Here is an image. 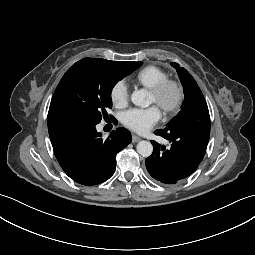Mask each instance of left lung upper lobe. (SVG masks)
<instances>
[{
	"mask_svg": "<svg viewBox=\"0 0 255 255\" xmlns=\"http://www.w3.org/2000/svg\"><path fill=\"white\" fill-rule=\"evenodd\" d=\"M171 65L174 68H176L177 73L180 77L181 83L184 88L185 100L183 101L182 108H184L189 103H192L196 100L204 99V96H203L199 86L197 85L196 81L191 76V74L183 67H179V65L177 63L172 62Z\"/></svg>",
	"mask_w": 255,
	"mask_h": 255,
	"instance_id": "obj_1",
	"label": "left lung upper lobe"
}]
</instances>
